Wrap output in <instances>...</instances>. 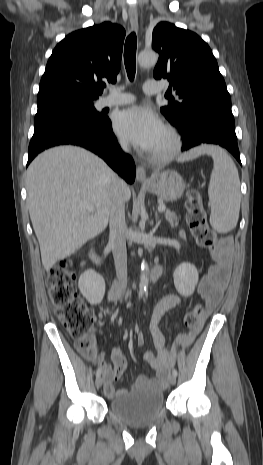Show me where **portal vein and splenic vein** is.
Wrapping results in <instances>:
<instances>
[{"label": "portal vein and splenic vein", "mask_w": 263, "mask_h": 465, "mask_svg": "<svg viewBox=\"0 0 263 465\" xmlns=\"http://www.w3.org/2000/svg\"><path fill=\"white\" fill-rule=\"evenodd\" d=\"M81 206L83 208H85L88 212H94L95 211V207L93 205L88 204V203H81ZM165 209H166L165 205H159L158 206V210L160 212H164Z\"/></svg>", "instance_id": "obj_1"}]
</instances>
